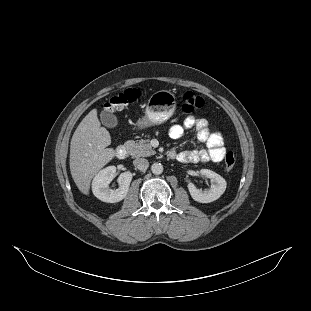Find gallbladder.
Returning <instances> with one entry per match:
<instances>
[{"label":"gallbladder","instance_id":"bac80fb5","mask_svg":"<svg viewBox=\"0 0 311 311\" xmlns=\"http://www.w3.org/2000/svg\"><path fill=\"white\" fill-rule=\"evenodd\" d=\"M100 119L102 124L108 128H114L118 124L117 117L109 111H102L100 113Z\"/></svg>","mask_w":311,"mask_h":311}]
</instances>
